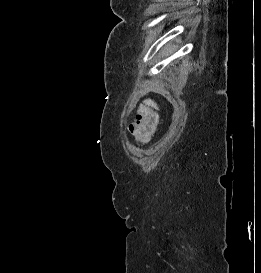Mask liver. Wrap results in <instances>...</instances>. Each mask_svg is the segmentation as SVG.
I'll use <instances>...</instances> for the list:
<instances>
[{"instance_id": "6515ba94", "label": "liver", "mask_w": 261, "mask_h": 273, "mask_svg": "<svg viewBox=\"0 0 261 273\" xmlns=\"http://www.w3.org/2000/svg\"><path fill=\"white\" fill-rule=\"evenodd\" d=\"M144 103L146 105H148V106H151V107H154L155 109H158L157 104L153 100H151V99H145Z\"/></svg>"}]
</instances>
